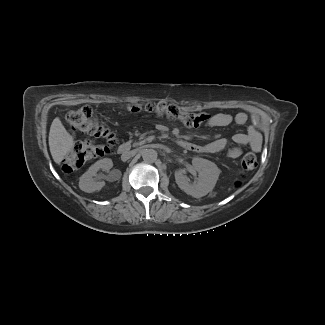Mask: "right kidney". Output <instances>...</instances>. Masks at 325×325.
I'll list each match as a JSON object with an SVG mask.
<instances>
[{"mask_svg":"<svg viewBox=\"0 0 325 325\" xmlns=\"http://www.w3.org/2000/svg\"><path fill=\"white\" fill-rule=\"evenodd\" d=\"M113 167V162L109 158L98 160L80 177L79 188L87 193L100 191L104 186V181L95 180L97 172L101 169L103 171H109Z\"/></svg>","mask_w":325,"mask_h":325,"instance_id":"1","label":"right kidney"}]
</instances>
